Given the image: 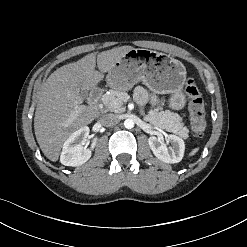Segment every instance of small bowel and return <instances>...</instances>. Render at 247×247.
I'll return each instance as SVG.
<instances>
[{
	"mask_svg": "<svg viewBox=\"0 0 247 247\" xmlns=\"http://www.w3.org/2000/svg\"><path fill=\"white\" fill-rule=\"evenodd\" d=\"M135 99L140 105H144L149 99H151L153 103L156 102V98L154 96H150L144 87H138L135 90Z\"/></svg>",
	"mask_w": 247,
	"mask_h": 247,
	"instance_id": "1",
	"label": "small bowel"
}]
</instances>
